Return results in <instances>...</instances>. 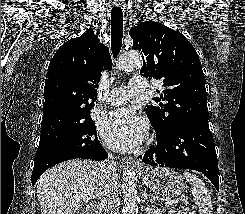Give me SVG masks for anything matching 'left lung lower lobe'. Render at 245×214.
Returning <instances> with one entry per match:
<instances>
[{
    "instance_id": "1",
    "label": "left lung lower lobe",
    "mask_w": 245,
    "mask_h": 214,
    "mask_svg": "<svg viewBox=\"0 0 245 214\" xmlns=\"http://www.w3.org/2000/svg\"><path fill=\"white\" fill-rule=\"evenodd\" d=\"M141 159L152 166L202 172L219 189L218 161L208 120L193 119L168 136H157L156 147Z\"/></svg>"
}]
</instances>
